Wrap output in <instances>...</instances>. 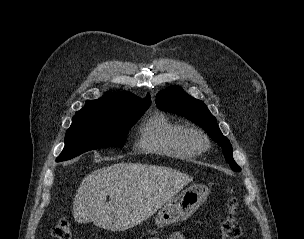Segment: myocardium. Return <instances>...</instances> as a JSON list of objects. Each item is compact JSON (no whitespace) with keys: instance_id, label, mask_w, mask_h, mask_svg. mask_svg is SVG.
<instances>
[{"instance_id":"obj_1","label":"myocardium","mask_w":304,"mask_h":239,"mask_svg":"<svg viewBox=\"0 0 304 239\" xmlns=\"http://www.w3.org/2000/svg\"><path fill=\"white\" fill-rule=\"evenodd\" d=\"M184 145L193 153L200 154L209 148V138L199 128H186L182 134Z\"/></svg>"}]
</instances>
